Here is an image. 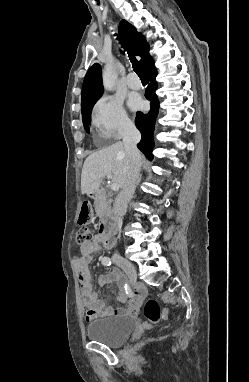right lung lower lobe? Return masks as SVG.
I'll list each match as a JSON object with an SVG mask.
<instances>
[{"label":"right lung lower lobe","instance_id":"1","mask_svg":"<svg viewBox=\"0 0 249 382\" xmlns=\"http://www.w3.org/2000/svg\"><path fill=\"white\" fill-rule=\"evenodd\" d=\"M143 69L150 80V84L146 89L145 97L151 102V110L148 113L137 112L136 114L135 124L142 135L141 141L137 144V146L149 160H152V150L154 147L153 131L155 119L159 110V101L157 95L155 94V90L157 88V83L155 80L157 71L154 66L153 59H151Z\"/></svg>","mask_w":249,"mask_h":382}]
</instances>
